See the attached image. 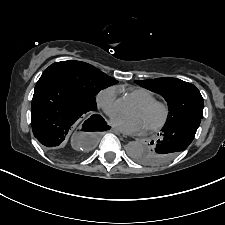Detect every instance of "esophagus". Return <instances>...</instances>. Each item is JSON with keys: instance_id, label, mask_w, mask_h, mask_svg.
<instances>
[{"instance_id": "obj_1", "label": "esophagus", "mask_w": 225, "mask_h": 225, "mask_svg": "<svg viewBox=\"0 0 225 225\" xmlns=\"http://www.w3.org/2000/svg\"><path fill=\"white\" fill-rule=\"evenodd\" d=\"M112 131H113L114 133L118 134V135H122L123 137H126L124 134H122L121 131H119V130L116 129V128H113Z\"/></svg>"}]
</instances>
